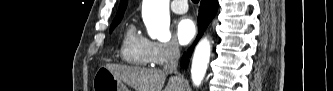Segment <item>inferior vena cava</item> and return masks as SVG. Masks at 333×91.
<instances>
[{"label":"inferior vena cava","mask_w":333,"mask_h":91,"mask_svg":"<svg viewBox=\"0 0 333 91\" xmlns=\"http://www.w3.org/2000/svg\"><path fill=\"white\" fill-rule=\"evenodd\" d=\"M179 58H180L179 45L177 42H171L168 48L167 60L163 67V71L169 74L172 73L176 74Z\"/></svg>","instance_id":"602c4592"}]
</instances>
